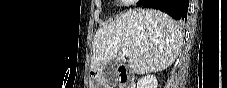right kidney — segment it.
Returning <instances> with one entry per match:
<instances>
[{"label": "right kidney", "mask_w": 227, "mask_h": 88, "mask_svg": "<svg viewBox=\"0 0 227 88\" xmlns=\"http://www.w3.org/2000/svg\"><path fill=\"white\" fill-rule=\"evenodd\" d=\"M158 82L154 75H147L142 77L137 82V88H157Z\"/></svg>", "instance_id": "1"}]
</instances>
